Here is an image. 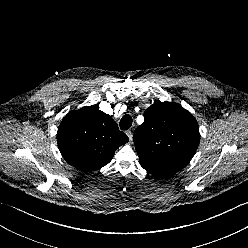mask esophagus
Segmentation results:
<instances>
[{"instance_id":"1","label":"esophagus","mask_w":248,"mask_h":248,"mask_svg":"<svg viewBox=\"0 0 248 248\" xmlns=\"http://www.w3.org/2000/svg\"><path fill=\"white\" fill-rule=\"evenodd\" d=\"M126 135L128 136L129 141H132V139H133V133H132V131L131 130H128L126 132Z\"/></svg>"}]
</instances>
